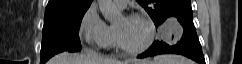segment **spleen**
<instances>
[{
    "instance_id": "spleen-1",
    "label": "spleen",
    "mask_w": 242,
    "mask_h": 64,
    "mask_svg": "<svg viewBox=\"0 0 242 64\" xmlns=\"http://www.w3.org/2000/svg\"><path fill=\"white\" fill-rule=\"evenodd\" d=\"M154 64H192V62L179 55H159L154 58Z\"/></svg>"
}]
</instances>
